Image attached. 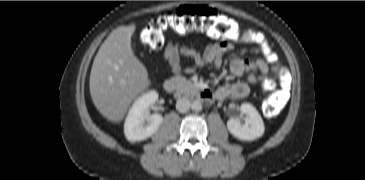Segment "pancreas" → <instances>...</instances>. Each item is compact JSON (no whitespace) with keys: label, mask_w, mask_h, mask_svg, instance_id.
I'll return each instance as SVG.
<instances>
[{"label":"pancreas","mask_w":365,"mask_h":180,"mask_svg":"<svg viewBox=\"0 0 365 180\" xmlns=\"http://www.w3.org/2000/svg\"><path fill=\"white\" fill-rule=\"evenodd\" d=\"M171 80L176 84V90L179 93L189 95L196 90L192 82L185 77L176 75L175 77H172Z\"/></svg>","instance_id":"cf45deb5"}]
</instances>
